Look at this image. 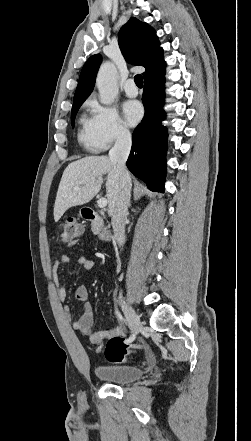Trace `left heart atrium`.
<instances>
[{"label":"left heart atrium","instance_id":"39dd6f15","mask_svg":"<svg viewBox=\"0 0 251 441\" xmlns=\"http://www.w3.org/2000/svg\"><path fill=\"white\" fill-rule=\"evenodd\" d=\"M123 113L127 123L134 126L141 120L143 108L138 101L130 100L123 104Z\"/></svg>","mask_w":251,"mask_h":441}]
</instances>
